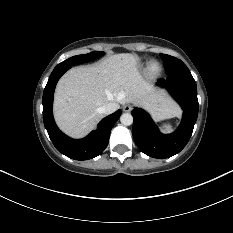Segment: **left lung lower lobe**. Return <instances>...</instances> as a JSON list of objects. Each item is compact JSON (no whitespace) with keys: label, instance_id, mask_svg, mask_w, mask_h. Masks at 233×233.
I'll use <instances>...</instances> for the list:
<instances>
[{"label":"left lung lower lobe","instance_id":"0a47b994","mask_svg":"<svg viewBox=\"0 0 233 233\" xmlns=\"http://www.w3.org/2000/svg\"><path fill=\"white\" fill-rule=\"evenodd\" d=\"M165 87L183 109L178 129L170 134L160 133L144 110L135 108L133 115V138L139 149L153 158H169L179 153L188 143L198 116L197 86L191 74L172 75L157 83Z\"/></svg>","mask_w":233,"mask_h":233}]
</instances>
